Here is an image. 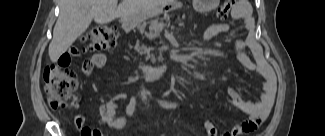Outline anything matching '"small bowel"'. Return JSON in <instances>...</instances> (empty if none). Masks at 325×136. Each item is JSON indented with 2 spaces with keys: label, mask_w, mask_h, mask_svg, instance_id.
Returning <instances> with one entry per match:
<instances>
[{
  "label": "small bowel",
  "mask_w": 325,
  "mask_h": 136,
  "mask_svg": "<svg viewBox=\"0 0 325 136\" xmlns=\"http://www.w3.org/2000/svg\"><path fill=\"white\" fill-rule=\"evenodd\" d=\"M232 30L233 28L230 24L214 23L205 29L203 38L204 40L209 41L218 35L229 33ZM235 46L243 65L250 69H255V64H253L246 53V50L249 48V44L242 38H236ZM82 49V44H67L65 53L59 54L58 63L60 64V70L68 69V75H72L71 77L74 80L78 79L79 76L76 74L75 68H70L71 65L69 60H73L74 55H77L76 57L79 59L81 57L80 54ZM106 60L107 58L104 53H95L91 58L85 57L83 63L84 74L90 75L94 69H102L106 64ZM256 69L264 79V85L257 101L252 102L245 100L241 94L233 88L228 87L225 89L230 105L247 114L248 118L233 126L229 131L224 132L222 134L224 136H238L253 132L255 129H257L259 123L264 120L269 113L274 99V76L268 70L262 60H260L256 65ZM126 99L127 96L124 93H118L105 101L99 108L101 121L112 129H122L126 123L127 117L131 116L136 111L138 105L137 100L132 98L124 107L123 111L118 114L117 110L119 105ZM182 104L183 100H176L170 102L168 107L177 108L182 106ZM75 124L79 129H81V131L90 129L89 127L85 126V117L83 115L76 116ZM204 128L209 136L218 135V130L211 120H206L204 122Z\"/></svg>",
  "instance_id": "obj_1"
}]
</instances>
